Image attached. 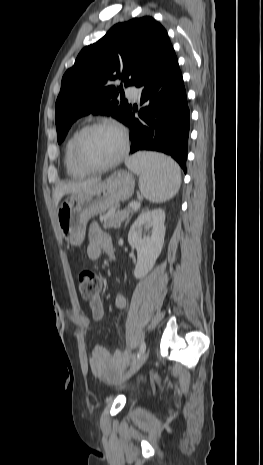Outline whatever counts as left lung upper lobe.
<instances>
[{
  "mask_svg": "<svg viewBox=\"0 0 263 465\" xmlns=\"http://www.w3.org/2000/svg\"><path fill=\"white\" fill-rule=\"evenodd\" d=\"M169 42L163 26L145 16L114 25L103 38L82 49L62 78L55 104L58 143L75 120L89 113L111 115L124 123L131 105L117 101L122 86L113 81L135 85Z\"/></svg>",
  "mask_w": 263,
  "mask_h": 465,
  "instance_id": "1",
  "label": "left lung upper lobe"
}]
</instances>
